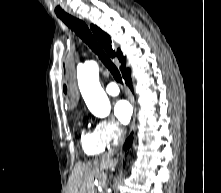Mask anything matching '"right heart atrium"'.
<instances>
[{
    "label": "right heart atrium",
    "instance_id": "right-heart-atrium-1",
    "mask_svg": "<svg viewBox=\"0 0 221 193\" xmlns=\"http://www.w3.org/2000/svg\"><path fill=\"white\" fill-rule=\"evenodd\" d=\"M94 133L102 143L109 146L122 138L124 130L116 120L102 119L96 122Z\"/></svg>",
    "mask_w": 221,
    "mask_h": 193
}]
</instances>
